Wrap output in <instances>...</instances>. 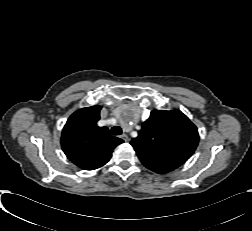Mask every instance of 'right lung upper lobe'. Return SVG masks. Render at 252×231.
I'll list each match as a JSON object with an SVG mask.
<instances>
[{
	"mask_svg": "<svg viewBox=\"0 0 252 231\" xmlns=\"http://www.w3.org/2000/svg\"><path fill=\"white\" fill-rule=\"evenodd\" d=\"M101 107L82 108L66 122L61 146L67 158L78 167L94 170L105 165L114 148L123 140L111 136L107 127H98Z\"/></svg>",
	"mask_w": 252,
	"mask_h": 231,
	"instance_id": "cb5924a9",
	"label": "right lung upper lobe"
}]
</instances>
